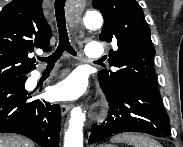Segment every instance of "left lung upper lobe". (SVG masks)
I'll return each mask as SVG.
<instances>
[{
    "instance_id": "obj_1",
    "label": "left lung upper lobe",
    "mask_w": 183,
    "mask_h": 147,
    "mask_svg": "<svg viewBox=\"0 0 183 147\" xmlns=\"http://www.w3.org/2000/svg\"><path fill=\"white\" fill-rule=\"evenodd\" d=\"M92 5L104 16L100 40L116 45L108 62L117 70L98 73L101 88L110 93L131 83L157 88L155 48L139 4L135 0H93Z\"/></svg>"
}]
</instances>
